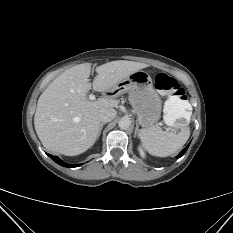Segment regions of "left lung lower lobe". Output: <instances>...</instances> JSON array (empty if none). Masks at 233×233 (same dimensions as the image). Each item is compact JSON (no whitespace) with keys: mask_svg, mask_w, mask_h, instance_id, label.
Returning <instances> with one entry per match:
<instances>
[{"mask_svg":"<svg viewBox=\"0 0 233 233\" xmlns=\"http://www.w3.org/2000/svg\"><path fill=\"white\" fill-rule=\"evenodd\" d=\"M188 146H189V145H188ZM188 146H187V147H185V148H184V149L179 153L178 157H181V156H183V155H184V153L186 152V150H187Z\"/></svg>","mask_w":233,"mask_h":233,"instance_id":"left-lung-lower-lobe-1","label":"left lung lower lobe"}]
</instances>
